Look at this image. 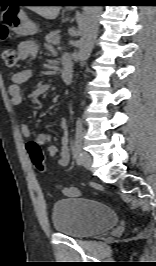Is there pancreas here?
<instances>
[{"mask_svg": "<svg viewBox=\"0 0 156 266\" xmlns=\"http://www.w3.org/2000/svg\"><path fill=\"white\" fill-rule=\"evenodd\" d=\"M59 31H52L48 35H46L45 40L49 45H56L57 41H59Z\"/></svg>", "mask_w": 156, "mask_h": 266, "instance_id": "cf45deb5", "label": "pancreas"}]
</instances>
